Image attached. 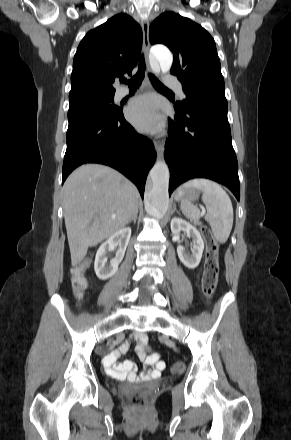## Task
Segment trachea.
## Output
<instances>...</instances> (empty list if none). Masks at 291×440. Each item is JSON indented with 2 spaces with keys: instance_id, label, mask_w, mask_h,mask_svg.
I'll list each match as a JSON object with an SVG mask.
<instances>
[{
  "instance_id": "obj_1",
  "label": "trachea",
  "mask_w": 291,
  "mask_h": 440,
  "mask_svg": "<svg viewBox=\"0 0 291 440\" xmlns=\"http://www.w3.org/2000/svg\"><path fill=\"white\" fill-rule=\"evenodd\" d=\"M145 67H146L145 60L142 55L140 62H139V69H138V72L136 73V75H134L129 81L123 80V82L127 83L130 88L139 87L142 83L143 78H144ZM149 79L154 87L163 88V89L166 88L154 75L149 74Z\"/></svg>"
}]
</instances>
